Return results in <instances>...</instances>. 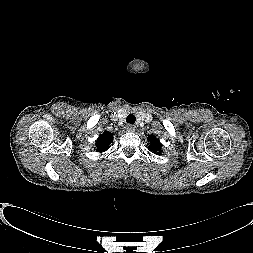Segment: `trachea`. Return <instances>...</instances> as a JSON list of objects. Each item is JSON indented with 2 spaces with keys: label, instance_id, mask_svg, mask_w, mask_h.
Returning a JSON list of instances; mask_svg holds the SVG:
<instances>
[{
  "label": "trachea",
  "instance_id": "trachea-1",
  "mask_svg": "<svg viewBox=\"0 0 253 253\" xmlns=\"http://www.w3.org/2000/svg\"><path fill=\"white\" fill-rule=\"evenodd\" d=\"M136 121V117L133 114H129L126 118V122L129 124H134Z\"/></svg>",
  "mask_w": 253,
  "mask_h": 253
}]
</instances>
